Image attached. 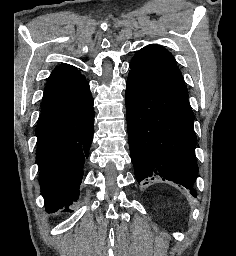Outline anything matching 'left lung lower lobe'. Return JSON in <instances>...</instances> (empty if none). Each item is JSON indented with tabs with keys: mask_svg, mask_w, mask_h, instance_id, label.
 Returning a JSON list of instances; mask_svg holds the SVG:
<instances>
[{
	"mask_svg": "<svg viewBox=\"0 0 236 256\" xmlns=\"http://www.w3.org/2000/svg\"><path fill=\"white\" fill-rule=\"evenodd\" d=\"M126 115L137 182L173 181L196 197L197 138L188 97L130 70Z\"/></svg>",
	"mask_w": 236,
	"mask_h": 256,
	"instance_id": "obj_1",
	"label": "left lung lower lobe"
}]
</instances>
